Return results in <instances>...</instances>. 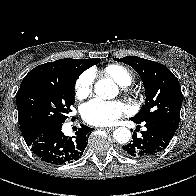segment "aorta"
I'll use <instances>...</instances> for the list:
<instances>
[{
	"instance_id": "762f6f07",
	"label": "aorta",
	"mask_w": 196,
	"mask_h": 196,
	"mask_svg": "<svg viewBox=\"0 0 196 196\" xmlns=\"http://www.w3.org/2000/svg\"><path fill=\"white\" fill-rule=\"evenodd\" d=\"M94 92L102 99H112L118 94V88L111 79L104 78L96 82ZM113 136L119 144H125L130 140L131 132L125 127H120L114 131Z\"/></svg>"
}]
</instances>
